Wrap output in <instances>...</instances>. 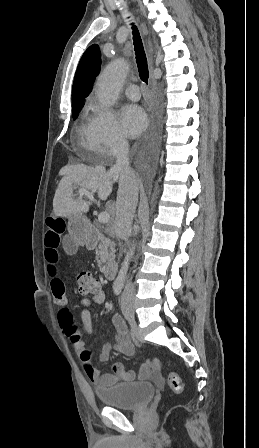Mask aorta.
I'll return each mask as SVG.
<instances>
[{"label": "aorta", "instance_id": "aorta-1", "mask_svg": "<svg viewBox=\"0 0 259 448\" xmlns=\"http://www.w3.org/2000/svg\"><path fill=\"white\" fill-rule=\"evenodd\" d=\"M129 66L124 59H118L110 63L101 73L97 82L96 94L100 103L105 107H111L118 99L121 86L128 73ZM135 245L126 253L124 261L116 278L117 284H123L126 280L129 263L134 255Z\"/></svg>", "mask_w": 259, "mask_h": 448}]
</instances>
